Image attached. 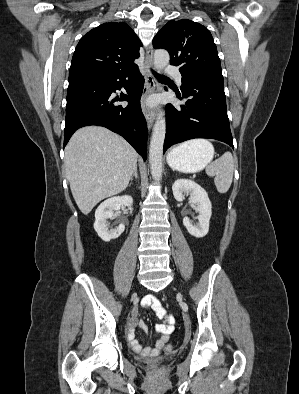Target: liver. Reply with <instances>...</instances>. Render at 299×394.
I'll return each mask as SVG.
<instances>
[{
	"mask_svg": "<svg viewBox=\"0 0 299 394\" xmlns=\"http://www.w3.org/2000/svg\"><path fill=\"white\" fill-rule=\"evenodd\" d=\"M138 154L121 136L98 126L74 133L65 148L66 178L80 211L87 215L101 200L129 184Z\"/></svg>",
	"mask_w": 299,
	"mask_h": 394,
	"instance_id": "6515ba94",
	"label": "liver"
}]
</instances>
